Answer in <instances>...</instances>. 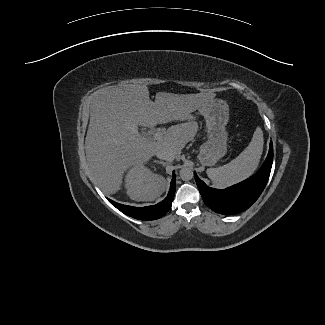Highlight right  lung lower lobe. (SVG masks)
Wrapping results in <instances>:
<instances>
[{"instance_id":"right-lung-lower-lobe-1","label":"right lung lower lobe","mask_w":325,"mask_h":325,"mask_svg":"<svg viewBox=\"0 0 325 325\" xmlns=\"http://www.w3.org/2000/svg\"><path fill=\"white\" fill-rule=\"evenodd\" d=\"M176 189L175 173L170 184L167 197L160 203L146 207H133L116 203L110 199L109 202L124 214L140 220H155L165 215L172 205Z\"/></svg>"}]
</instances>
